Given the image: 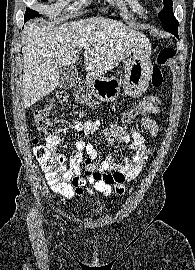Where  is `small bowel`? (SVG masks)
I'll use <instances>...</instances> for the list:
<instances>
[{"instance_id":"1","label":"small bowel","mask_w":195,"mask_h":270,"mask_svg":"<svg viewBox=\"0 0 195 270\" xmlns=\"http://www.w3.org/2000/svg\"><path fill=\"white\" fill-rule=\"evenodd\" d=\"M159 113L160 108L157 106L146 114ZM139 123L151 137L155 138L158 135L159 127L151 117L143 115ZM71 124L79 134L88 137L99 129L101 122L97 118H89L85 122L75 119ZM103 138L109 146H114L116 142L123 144L132 142L130 153L120 162H116L111 153L102 162H96L95 146L83 138L77 140L68 157V173L72 179V187L66 194H63L65 197L80 196L85 189L90 195H94V192L97 191L107 198L112 195L113 187L116 194L122 195L125 192V181L134 180L152 154L150 144L132 126L110 124L103 130ZM47 145L64 148L63 137L48 138ZM83 161L85 163L84 171L81 168Z\"/></svg>"}]
</instances>
